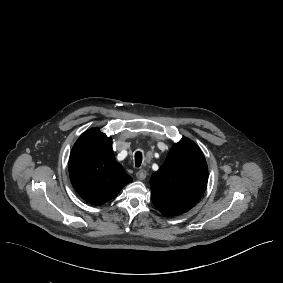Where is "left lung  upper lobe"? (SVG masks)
Returning a JSON list of instances; mask_svg holds the SVG:
<instances>
[{
	"instance_id": "left-lung-upper-lobe-1",
	"label": "left lung upper lobe",
	"mask_w": 283,
	"mask_h": 283,
	"mask_svg": "<svg viewBox=\"0 0 283 283\" xmlns=\"http://www.w3.org/2000/svg\"><path fill=\"white\" fill-rule=\"evenodd\" d=\"M208 168L200 148L184 138L174 144L159 170L151 176L154 206L166 217L190 210L204 194Z\"/></svg>"
}]
</instances>
